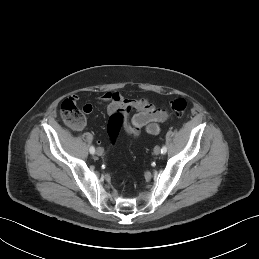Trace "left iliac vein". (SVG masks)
<instances>
[{"label":"left iliac vein","instance_id":"obj_1","mask_svg":"<svg viewBox=\"0 0 259 259\" xmlns=\"http://www.w3.org/2000/svg\"><path fill=\"white\" fill-rule=\"evenodd\" d=\"M154 154L155 155H159L160 154V147L159 146H156L155 148H154Z\"/></svg>","mask_w":259,"mask_h":259}]
</instances>
